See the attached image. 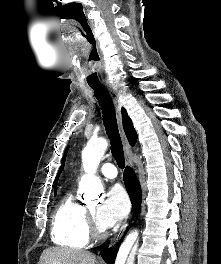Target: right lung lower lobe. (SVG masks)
<instances>
[{
	"mask_svg": "<svg viewBox=\"0 0 221 264\" xmlns=\"http://www.w3.org/2000/svg\"><path fill=\"white\" fill-rule=\"evenodd\" d=\"M124 183L130 196L135 216L141 205V187L133 169L130 167H126L124 171ZM121 242L122 239L113 248L109 249H107L109 242L101 246V254L107 264H114Z\"/></svg>",
	"mask_w": 221,
	"mask_h": 264,
	"instance_id": "98d812e1",
	"label": "right lung lower lobe"
}]
</instances>
